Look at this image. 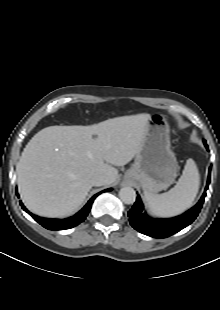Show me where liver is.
I'll return each instance as SVG.
<instances>
[{"instance_id": "1", "label": "liver", "mask_w": 220, "mask_h": 310, "mask_svg": "<svg viewBox=\"0 0 220 310\" xmlns=\"http://www.w3.org/2000/svg\"><path fill=\"white\" fill-rule=\"evenodd\" d=\"M151 116L116 117L90 126H49L24 148L17 165V184L25 206L44 217L73 213L92 188L95 175L118 177L140 151Z\"/></svg>"}]
</instances>
